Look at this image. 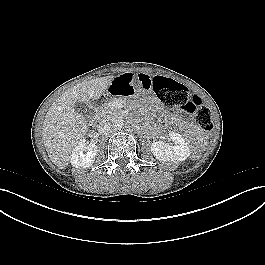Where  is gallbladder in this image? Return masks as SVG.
Returning a JSON list of instances; mask_svg holds the SVG:
<instances>
[{"instance_id": "bac80fb5", "label": "gallbladder", "mask_w": 265, "mask_h": 265, "mask_svg": "<svg viewBox=\"0 0 265 265\" xmlns=\"http://www.w3.org/2000/svg\"><path fill=\"white\" fill-rule=\"evenodd\" d=\"M76 107L77 112L82 114L87 120H90L93 117L94 112L92 109L89 108L88 105L84 103H79L76 104Z\"/></svg>"}]
</instances>
